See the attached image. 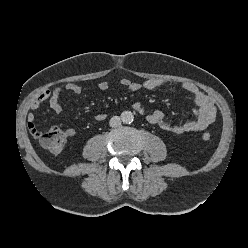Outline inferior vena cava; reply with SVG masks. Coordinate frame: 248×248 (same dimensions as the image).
<instances>
[{"instance_id":"obj_1","label":"inferior vena cava","mask_w":248,"mask_h":248,"mask_svg":"<svg viewBox=\"0 0 248 248\" xmlns=\"http://www.w3.org/2000/svg\"><path fill=\"white\" fill-rule=\"evenodd\" d=\"M109 124L111 127H118L121 125V118L118 117V116H113L110 121H109Z\"/></svg>"}]
</instances>
